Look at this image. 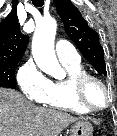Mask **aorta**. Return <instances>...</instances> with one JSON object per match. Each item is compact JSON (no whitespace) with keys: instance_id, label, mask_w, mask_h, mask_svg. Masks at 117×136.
Segmentation results:
<instances>
[{"instance_id":"762f6f07","label":"aorta","mask_w":117,"mask_h":136,"mask_svg":"<svg viewBox=\"0 0 117 136\" xmlns=\"http://www.w3.org/2000/svg\"><path fill=\"white\" fill-rule=\"evenodd\" d=\"M57 23L53 17H44L36 24L32 41V54L38 67L45 73L61 78L64 70L61 68L54 51V39Z\"/></svg>"}]
</instances>
